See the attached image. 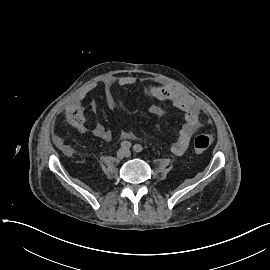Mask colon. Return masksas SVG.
I'll list each match as a JSON object with an SVG mask.
<instances>
[{
	"instance_id": "5ec220e1",
	"label": "colon",
	"mask_w": 270,
	"mask_h": 270,
	"mask_svg": "<svg viewBox=\"0 0 270 270\" xmlns=\"http://www.w3.org/2000/svg\"><path fill=\"white\" fill-rule=\"evenodd\" d=\"M212 143V139L208 134H197L193 139L194 148L197 152H205Z\"/></svg>"
}]
</instances>
